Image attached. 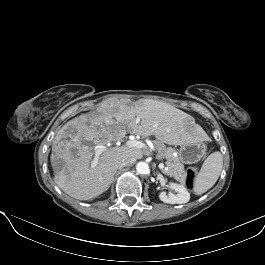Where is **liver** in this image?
<instances>
[{
	"instance_id": "liver-1",
	"label": "liver",
	"mask_w": 265,
	"mask_h": 265,
	"mask_svg": "<svg viewBox=\"0 0 265 265\" xmlns=\"http://www.w3.org/2000/svg\"><path fill=\"white\" fill-rule=\"evenodd\" d=\"M138 119L140 121L138 122ZM185 112L160 101L107 99L96 112L68 121L52 141L51 164L55 183L77 200H90L105 192L113 181L117 164L125 157L140 159L143 151L127 145L108 147L92 168L97 146L122 140L127 130L169 145L192 141L195 129Z\"/></svg>"
}]
</instances>
